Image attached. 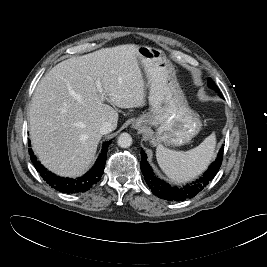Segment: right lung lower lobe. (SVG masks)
Wrapping results in <instances>:
<instances>
[{
	"mask_svg": "<svg viewBox=\"0 0 267 267\" xmlns=\"http://www.w3.org/2000/svg\"><path fill=\"white\" fill-rule=\"evenodd\" d=\"M111 141L105 142L103 144V149L101 154L99 155L95 165L93 168L84 176L76 179H69L56 176L50 173L46 168H44L36 159L32 149H29L30 158L40 173L41 177L54 189L60 191L62 193H78L85 192L89 190L93 184L100 180L105 163H106V155L108 151V147ZM30 146V144H29Z\"/></svg>",
	"mask_w": 267,
	"mask_h": 267,
	"instance_id": "obj_1",
	"label": "right lung lower lobe"
}]
</instances>
